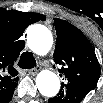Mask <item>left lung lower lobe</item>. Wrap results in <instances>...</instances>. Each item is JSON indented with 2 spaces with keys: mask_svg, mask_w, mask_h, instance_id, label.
Wrapping results in <instances>:
<instances>
[{
  "mask_svg": "<svg viewBox=\"0 0 103 103\" xmlns=\"http://www.w3.org/2000/svg\"><path fill=\"white\" fill-rule=\"evenodd\" d=\"M87 93V90L83 88L69 86L62 94H64V97H66V103H79L86 96ZM61 96L62 95L55 97ZM48 101L49 103H55V98L49 99Z\"/></svg>",
  "mask_w": 103,
  "mask_h": 103,
  "instance_id": "obj_1",
  "label": "left lung lower lobe"
}]
</instances>
